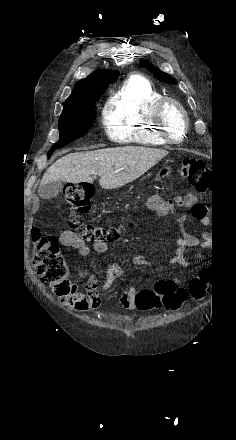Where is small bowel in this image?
<instances>
[{
	"mask_svg": "<svg viewBox=\"0 0 236 440\" xmlns=\"http://www.w3.org/2000/svg\"><path fill=\"white\" fill-rule=\"evenodd\" d=\"M145 206L148 210L155 213L159 218L166 217L174 211L176 207L191 208L192 216L203 223H207L204 206L197 202L196 196L188 194L186 196H177L169 200L162 199L159 195L150 196ZM185 216H179L181 236L176 241V247L171 254L168 262L156 270L164 272L174 266H187L188 262L185 258V252L188 248L197 247L199 245V239L184 231L182 224L185 220ZM60 245L70 247L79 251L83 257H88L90 254V248L86 243L77 236L74 232L65 230L61 232L58 238ZM93 250L97 253H106L108 246L104 242H97L93 244ZM137 262L140 264H146V260L142 257L137 258ZM122 276V269L118 264H110L106 271L105 281L99 285V279L95 275H86L85 278L77 283L72 292L66 296L63 300L68 306L78 312H89L98 310L101 307V298L99 293L101 291H107L115 285H118ZM141 292V291H140ZM139 293L133 288L124 289L119 287V301L129 310L138 308L137 298ZM155 307L153 309H158Z\"/></svg>",
	"mask_w": 236,
	"mask_h": 440,
	"instance_id": "obj_1",
	"label": "small bowel"
}]
</instances>
